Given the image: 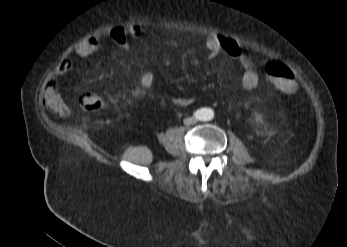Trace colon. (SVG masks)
Instances as JSON below:
<instances>
[{
	"mask_svg": "<svg viewBox=\"0 0 347 247\" xmlns=\"http://www.w3.org/2000/svg\"><path fill=\"white\" fill-rule=\"evenodd\" d=\"M267 74L271 87L284 94L293 93L297 83L291 69L284 63L274 62L267 66ZM80 106L87 112H92L102 106V99L96 93L87 91L80 97Z\"/></svg>",
	"mask_w": 347,
	"mask_h": 247,
	"instance_id": "colon-1",
	"label": "colon"
}]
</instances>
